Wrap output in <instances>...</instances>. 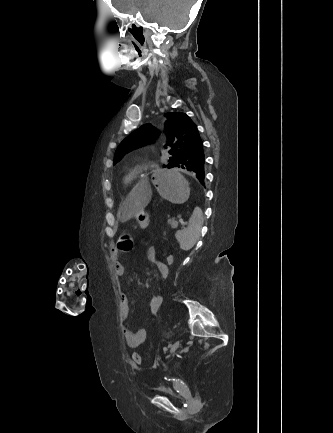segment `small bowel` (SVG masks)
I'll use <instances>...</instances> for the list:
<instances>
[{"mask_svg":"<svg viewBox=\"0 0 333 433\" xmlns=\"http://www.w3.org/2000/svg\"><path fill=\"white\" fill-rule=\"evenodd\" d=\"M119 250H122L120 246L118 248H114L112 253V263H113V268L115 270V273L119 277H121L124 274L125 268L120 259ZM147 259L157 266L162 278L165 279L168 277L169 268L166 267L164 261H161L159 259L156 248L150 247L147 250ZM154 296H157L160 299V301H162V303L165 300V296L163 293H157ZM129 314H130L129 299L125 294H121L119 298V316L122 322V333L127 346L130 348H136L145 342L147 338V330L145 328H141L137 331L132 330L127 323Z\"/></svg>","mask_w":333,"mask_h":433,"instance_id":"1","label":"small bowel"}]
</instances>
